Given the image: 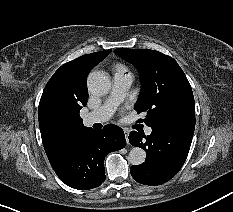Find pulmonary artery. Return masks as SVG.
Wrapping results in <instances>:
<instances>
[{"label": "pulmonary artery", "instance_id": "1", "mask_svg": "<svg viewBox=\"0 0 233 212\" xmlns=\"http://www.w3.org/2000/svg\"><path fill=\"white\" fill-rule=\"evenodd\" d=\"M133 76L126 71H117L113 76V84L110 96L105 103L98 109L87 113L84 117V123L91 125L94 123H103L110 119L117 106L125 99L127 92L132 84ZM152 129H145V133L150 135Z\"/></svg>", "mask_w": 233, "mask_h": 212}]
</instances>
